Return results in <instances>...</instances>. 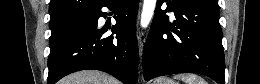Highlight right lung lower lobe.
Listing matches in <instances>:
<instances>
[{
	"instance_id": "obj_1",
	"label": "right lung lower lobe",
	"mask_w": 260,
	"mask_h": 84,
	"mask_svg": "<svg viewBox=\"0 0 260 84\" xmlns=\"http://www.w3.org/2000/svg\"><path fill=\"white\" fill-rule=\"evenodd\" d=\"M102 7L115 9L116 24L112 33L102 38L98 19L106 13ZM139 0H105L89 21L66 34L50 47L47 84H55L62 77L80 70L95 69L107 72L124 84H136L138 74V47L135 21Z\"/></svg>"
}]
</instances>
